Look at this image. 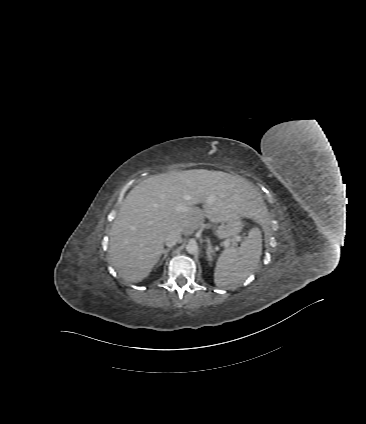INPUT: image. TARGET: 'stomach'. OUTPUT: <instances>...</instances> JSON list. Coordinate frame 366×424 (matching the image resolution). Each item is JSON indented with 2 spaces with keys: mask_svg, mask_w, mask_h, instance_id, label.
<instances>
[{
  "mask_svg": "<svg viewBox=\"0 0 366 424\" xmlns=\"http://www.w3.org/2000/svg\"><path fill=\"white\" fill-rule=\"evenodd\" d=\"M243 225L241 218L229 219L221 222L216 230V236L219 239H228L238 235L242 231Z\"/></svg>",
  "mask_w": 366,
  "mask_h": 424,
  "instance_id": "obj_1",
  "label": "stomach"
}]
</instances>
